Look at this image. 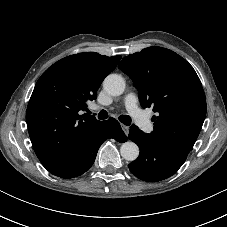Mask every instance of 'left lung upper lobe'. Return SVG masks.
Here are the masks:
<instances>
[{
    "label": "left lung upper lobe",
    "mask_w": 227,
    "mask_h": 227,
    "mask_svg": "<svg viewBox=\"0 0 227 227\" xmlns=\"http://www.w3.org/2000/svg\"><path fill=\"white\" fill-rule=\"evenodd\" d=\"M119 67L139 90L143 108L152 107L154 131L165 148L187 156L206 116V98L193 67L175 52L149 47L123 58Z\"/></svg>",
    "instance_id": "1"
}]
</instances>
